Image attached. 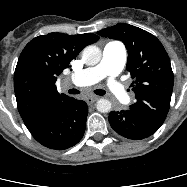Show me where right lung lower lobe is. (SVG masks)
Listing matches in <instances>:
<instances>
[{
  "label": "right lung lower lobe",
  "instance_id": "right-lung-lower-lobe-1",
  "mask_svg": "<svg viewBox=\"0 0 187 187\" xmlns=\"http://www.w3.org/2000/svg\"><path fill=\"white\" fill-rule=\"evenodd\" d=\"M87 114L84 101L69 98L28 130L43 146L64 150L83 137Z\"/></svg>",
  "mask_w": 187,
  "mask_h": 187
}]
</instances>
